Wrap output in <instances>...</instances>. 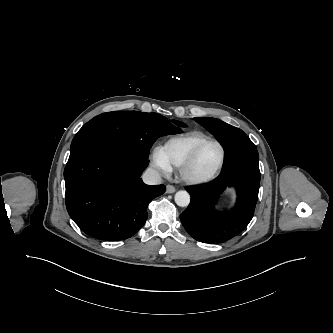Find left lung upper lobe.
Listing matches in <instances>:
<instances>
[{"label":"left lung upper lobe","instance_id":"5c2ea615","mask_svg":"<svg viewBox=\"0 0 333 333\" xmlns=\"http://www.w3.org/2000/svg\"><path fill=\"white\" fill-rule=\"evenodd\" d=\"M194 120L211 132L222 147L225 149L228 143L233 139L245 135V133L219 119L209 117H195Z\"/></svg>","mask_w":333,"mask_h":333}]
</instances>
